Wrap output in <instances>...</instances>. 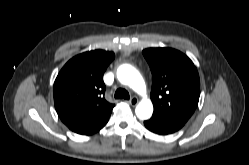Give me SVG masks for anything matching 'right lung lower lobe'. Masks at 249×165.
<instances>
[{
  "label": "right lung lower lobe",
  "mask_w": 249,
  "mask_h": 165,
  "mask_svg": "<svg viewBox=\"0 0 249 165\" xmlns=\"http://www.w3.org/2000/svg\"><path fill=\"white\" fill-rule=\"evenodd\" d=\"M103 126H104V125H103ZM103 126H102V127H103ZM102 127H101V128H102ZM101 128H99L98 130H96V131H94V132H92V133H95V132L99 131ZM92 133H91V134H92Z\"/></svg>",
  "instance_id": "right-lung-lower-lobe-1"
}]
</instances>
